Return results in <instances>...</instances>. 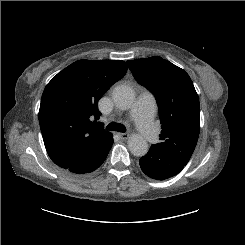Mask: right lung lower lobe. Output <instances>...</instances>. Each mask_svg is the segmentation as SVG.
<instances>
[{"mask_svg":"<svg viewBox=\"0 0 245 245\" xmlns=\"http://www.w3.org/2000/svg\"><path fill=\"white\" fill-rule=\"evenodd\" d=\"M113 144L112 135L99 142L78 164L67 168L71 174L81 176L96 170L106 159Z\"/></svg>","mask_w":245,"mask_h":245,"instance_id":"obj_1","label":"right lung lower lobe"}]
</instances>
